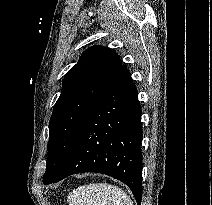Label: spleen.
<instances>
[{"instance_id":"obj_1","label":"spleen","mask_w":212,"mask_h":205,"mask_svg":"<svg viewBox=\"0 0 212 205\" xmlns=\"http://www.w3.org/2000/svg\"><path fill=\"white\" fill-rule=\"evenodd\" d=\"M69 205H133L121 188L107 183L79 186L68 196Z\"/></svg>"}]
</instances>
